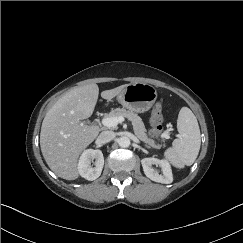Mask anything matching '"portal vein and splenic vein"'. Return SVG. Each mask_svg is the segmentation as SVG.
Here are the masks:
<instances>
[{
    "label": "portal vein and splenic vein",
    "instance_id": "18ae733b",
    "mask_svg": "<svg viewBox=\"0 0 243 243\" xmlns=\"http://www.w3.org/2000/svg\"><path fill=\"white\" fill-rule=\"evenodd\" d=\"M124 117H106L101 120V124L105 127L111 128L117 126L119 123L124 122Z\"/></svg>",
    "mask_w": 243,
    "mask_h": 243
}]
</instances>
